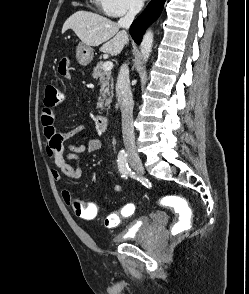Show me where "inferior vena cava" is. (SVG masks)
I'll use <instances>...</instances> for the list:
<instances>
[{
  "mask_svg": "<svg viewBox=\"0 0 249 294\" xmlns=\"http://www.w3.org/2000/svg\"><path fill=\"white\" fill-rule=\"evenodd\" d=\"M142 0H133L127 14L118 21L119 27L128 29L132 24L135 16L142 9ZM126 35V31H123ZM116 95L122 115V134L125 147H135V136L133 127V98L130 88L129 69L127 64H123L120 68L117 83Z\"/></svg>",
  "mask_w": 249,
  "mask_h": 294,
  "instance_id": "602c4592",
  "label": "inferior vena cava"
}]
</instances>
